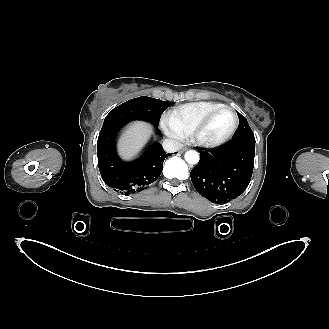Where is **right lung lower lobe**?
Instances as JSON below:
<instances>
[{"label": "right lung lower lobe", "mask_w": 329, "mask_h": 329, "mask_svg": "<svg viewBox=\"0 0 329 329\" xmlns=\"http://www.w3.org/2000/svg\"><path fill=\"white\" fill-rule=\"evenodd\" d=\"M125 124H103L97 141V153L98 167L104 182L115 191L127 195L140 192L156 181L161 175L163 161L168 154L156 142L136 161H121L115 152L114 141Z\"/></svg>", "instance_id": "obj_1"}]
</instances>
